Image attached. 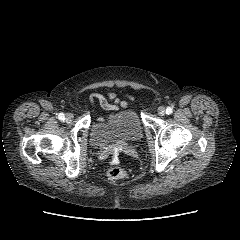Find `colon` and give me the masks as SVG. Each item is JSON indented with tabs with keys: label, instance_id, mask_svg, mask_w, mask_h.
<instances>
[{
	"label": "colon",
	"instance_id": "5ec220e1",
	"mask_svg": "<svg viewBox=\"0 0 240 240\" xmlns=\"http://www.w3.org/2000/svg\"><path fill=\"white\" fill-rule=\"evenodd\" d=\"M107 177L113 181L125 180L128 177V173L125 169L119 166H111L107 169Z\"/></svg>",
	"mask_w": 240,
	"mask_h": 240
}]
</instances>
